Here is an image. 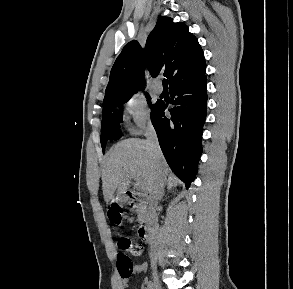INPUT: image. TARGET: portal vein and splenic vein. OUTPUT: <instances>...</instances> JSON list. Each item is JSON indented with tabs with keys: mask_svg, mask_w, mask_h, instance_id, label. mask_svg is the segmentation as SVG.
Returning <instances> with one entry per match:
<instances>
[{
	"mask_svg": "<svg viewBox=\"0 0 293 289\" xmlns=\"http://www.w3.org/2000/svg\"><path fill=\"white\" fill-rule=\"evenodd\" d=\"M134 180L136 181V186L139 188V189H142V186H141V183L139 181L138 178H134Z\"/></svg>",
	"mask_w": 293,
	"mask_h": 289,
	"instance_id": "18ae733b",
	"label": "portal vein and splenic vein"
}]
</instances>
